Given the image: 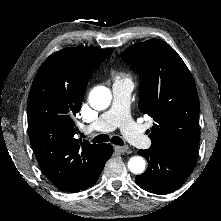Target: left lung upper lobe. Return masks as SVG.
Returning a JSON list of instances; mask_svg holds the SVG:
<instances>
[{
    "instance_id": "obj_1",
    "label": "left lung upper lobe",
    "mask_w": 221,
    "mask_h": 221,
    "mask_svg": "<svg viewBox=\"0 0 221 221\" xmlns=\"http://www.w3.org/2000/svg\"><path fill=\"white\" fill-rule=\"evenodd\" d=\"M121 55L141 76L139 108L154 119L151 148L195 155L200 104L194 80L181 57L159 39L130 46Z\"/></svg>"
}]
</instances>
